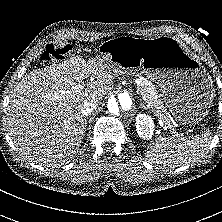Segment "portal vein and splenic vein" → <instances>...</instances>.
I'll return each instance as SVG.
<instances>
[{"label": "portal vein and splenic vein", "instance_id": "obj_1", "mask_svg": "<svg viewBox=\"0 0 222 222\" xmlns=\"http://www.w3.org/2000/svg\"><path fill=\"white\" fill-rule=\"evenodd\" d=\"M159 124H160L161 126H164L165 124H167V125H168V126H166L167 128H170V129L172 128V125H171V124L163 121L162 119H159ZM174 135H175L176 137H180L181 139L184 140L183 134L178 133V132H174Z\"/></svg>", "mask_w": 222, "mask_h": 222}]
</instances>
